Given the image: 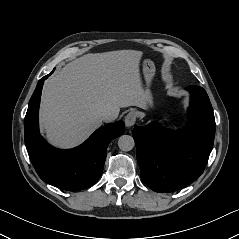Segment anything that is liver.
I'll list each match as a JSON object with an SVG mask.
<instances>
[{
  "instance_id": "liver-1",
  "label": "liver",
  "mask_w": 239,
  "mask_h": 239,
  "mask_svg": "<svg viewBox=\"0 0 239 239\" xmlns=\"http://www.w3.org/2000/svg\"><path fill=\"white\" fill-rule=\"evenodd\" d=\"M141 58L135 50L86 54L50 77L40 106L47 139L55 146L74 147L101 126V113L116 119L122 107H146Z\"/></svg>"
}]
</instances>
